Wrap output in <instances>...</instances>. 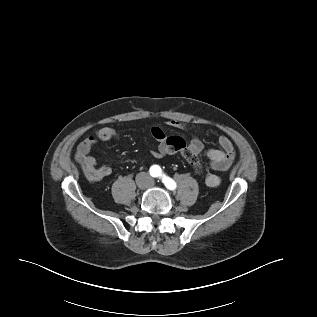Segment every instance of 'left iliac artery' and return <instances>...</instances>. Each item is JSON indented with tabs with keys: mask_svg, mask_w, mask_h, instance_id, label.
<instances>
[{
	"mask_svg": "<svg viewBox=\"0 0 317 317\" xmlns=\"http://www.w3.org/2000/svg\"><path fill=\"white\" fill-rule=\"evenodd\" d=\"M160 176H161L162 182L168 189L174 190L176 188V182L173 179L166 176L165 174L163 175L161 174Z\"/></svg>",
	"mask_w": 317,
	"mask_h": 317,
	"instance_id": "1",
	"label": "left iliac artery"
}]
</instances>
